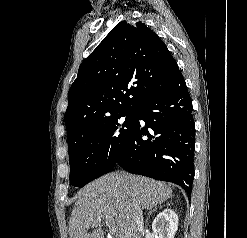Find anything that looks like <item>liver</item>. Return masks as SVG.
<instances>
[{
	"mask_svg": "<svg viewBox=\"0 0 247 238\" xmlns=\"http://www.w3.org/2000/svg\"><path fill=\"white\" fill-rule=\"evenodd\" d=\"M165 183L146 177L113 172L82 188L77 194L69 224L70 238H104L101 221H116L119 238H139L135 205L151 210L172 198ZM90 227H96L88 233Z\"/></svg>",
	"mask_w": 247,
	"mask_h": 238,
	"instance_id": "1",
	"label": "liver"
}]
</instances>
